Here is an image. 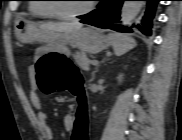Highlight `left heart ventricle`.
Masks as SVG:
<instances>
[{"label": "left heart ventricle", "instance_id": "obj_1", "mask_svg": "<svg viewBox=\"0 0 182 140\" xmlns=\"http://www.w3.org/2000/svg\"><path fill=\"white\" fill-rule=\"evenodd\" d=\"M85 2L86 1L83 0H64V2L60 4V7L65 12L73 13L83 9L87 5Z\"/></svg>", "mask_w": 182, "mask_h": 140}]
</instances>
